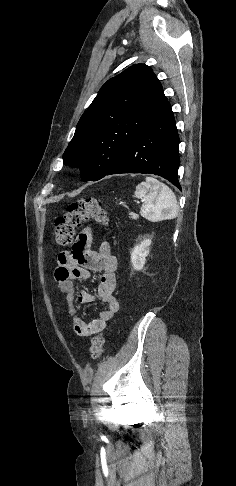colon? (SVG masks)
<instances>
[{"mask_svg": "<svg viewBox=\"0 0 236 486\" xmlns=\"http://www.w3.org/2000/svg\"><path fill=\"white\" fill-rule=\"evenodd\" d=\"M94 220L99 224L108 223V214L101 203L95 198L80 199L68 206L67 213L59 217L55 224V243L59 247L70 245L75 237L76 229L83 223ZM105 335L96 334L91 341L90 353L93 359H98L103 352Z\"/></svg>", "mask_w": 236, "mask_h": 486, "instance_id": "colon-1", "label": "colon"}]
</instances>
